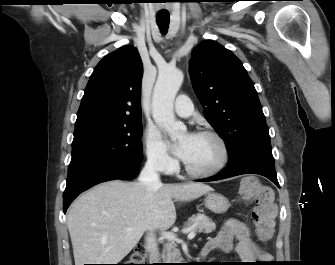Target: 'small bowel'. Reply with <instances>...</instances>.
I'll return each instance as SVG.
<instances>
[{"instance_id":"small-bowel-1","label":"small bowel","mask_w":335,"mask_h":265,"mask_svg":"<svg viewBox=\"0 0 335 265\" xmlns=\"http://www.w3.org/2000/svg\"><path fill=\"white\" fill-rule=\"evenodd\" d=\"M205 246L211 251L230 252L235 250L244 261L269 260L270 255L264 252L253 240L249 227L237 220H227L218 235L209 240Z\"/></svg>"}]
</instances>
